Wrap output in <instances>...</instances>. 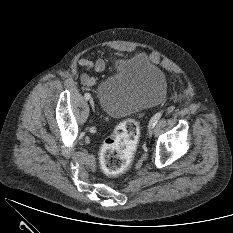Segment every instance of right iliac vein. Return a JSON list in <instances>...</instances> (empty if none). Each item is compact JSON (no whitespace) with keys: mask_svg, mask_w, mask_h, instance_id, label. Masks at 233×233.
Listing matches in <instances>:
<instances>
[{"mask_svg":"<svg viewBox=\"0 0 233 233\" xmlns=\"http://www.w3.org/2000/svg\"><path fill=\"white\" fill-rule=\"evenodd\" d=\"M90 105H91L92 109L95 110V103H94L93 99H90Z\"/></svg>","mask_w":233,"mask_h":233,"instance_id":"obj_1","label":"right iliac vein"}]
</instances>
